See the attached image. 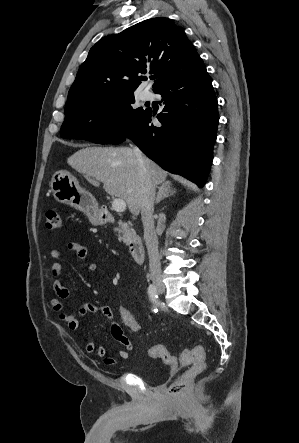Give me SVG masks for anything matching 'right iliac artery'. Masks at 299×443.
<instances>
[{"instance_id": "obj_1", "label": "right iliac artery", "mask_w": 299, "mask_h": 443, "mask_svg": "<svg viewBox=\"0 0 299 443\" xmlns=\"http://www.w3.org/2000/svg\"><path fill=\"white\" fill-rule=\"evenodd\" d=\"M148 295L153 303H158L157 288L153 284L148 287Z\"/></svg>"}]
</instances>
